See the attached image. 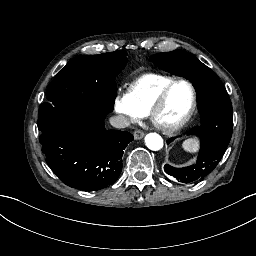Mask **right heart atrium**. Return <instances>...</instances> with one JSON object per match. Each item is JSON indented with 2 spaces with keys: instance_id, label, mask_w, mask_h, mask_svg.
Masks as SVG:
<instances>
[{
  "instance_id": "right-heart-atrium-1",
  "label": "right heart atrium",
  "mask_w": 256,
  "mask_h": 256,
  "mask_svg": "<svg viewBox=\"0 0 256 256\" xmlns=\"http://www.w3.org/2000/svg\"><path fill=\"white\" fill-rule=\"evenodd\" d=\"M131 93H124L122 95L118 94L115 97L114 102V112L125 116L128 121H137V114L133 111L131 107Z\"/></svg>"
}]
</instances>
